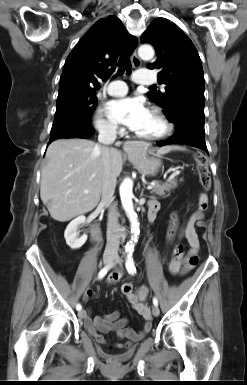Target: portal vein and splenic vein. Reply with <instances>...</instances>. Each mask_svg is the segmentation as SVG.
Returning a JSON list of instances; mask_svg holds the SVG:
<instances>
[{"label": "portal vein and splenic vein", "instance_id": "18ae733b", "mask_svg": "<svg viewBox=\"0 0 247 385\" xmlns=\"http://www.w3.org/2000/svg\"><path fill=\"white\" fill-rule=\"evenodd\" d=\"M178 173H179V171H178V170H176V171H174L173 175H176V174H178ZM147 189H148V190H151V189H153V185H149V186H147ZM84 193H89V190H85V191H84Z\"/></svg>", "mask_w": 247, "mask_h": 385}]
</instances>
